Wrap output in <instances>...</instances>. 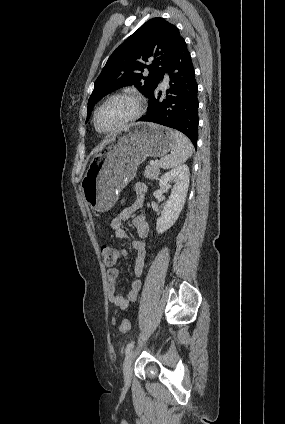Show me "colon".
I'll list each match as a JSON object with an SVG mask.
<instances>
[{"instance_id": "colon-1", "label": "colon", "mask_w": 285, "mask_h": 424, "mask_svg": "<svg viewBox=\"0 0 285 424\" xmlns=\"http://www.w3.org/2000/svg\"><path fill=\"white\" fill-rule=\"evenodd\" d=\"M101 254L104 259L105 264L113 265L116 263L120 257V251L114 246L103 245L101 247ZM120 328L123 331H128L130 329V324L126 319H123L120 322Z\"/></svg>"}]
</instances>
